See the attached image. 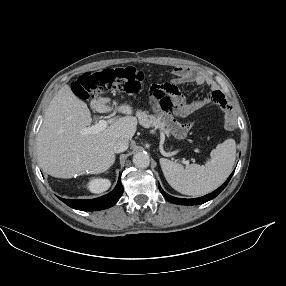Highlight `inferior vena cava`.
Masks as SVG:
<instances>
[{
  "label": "inferior vena cava",
  "mask_w": 286,
  "mask_h": 286,
  "mask_svg": "<svg viewBox=\"0 0 286 286\" xmlns=\"http://www.w3.org/2000/svg\"><path fill=\"white\" fill-rule=\"evenodd\" d=\"M128 144H129V141L127 139H124V138L118 139L113 147L114 152L120 153V152L127 150Z\"/></svg>",
  "instance_id": "obj_1"
}]
</instances>
